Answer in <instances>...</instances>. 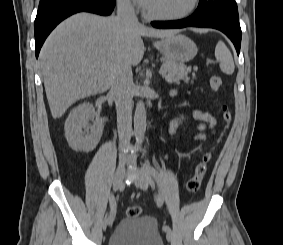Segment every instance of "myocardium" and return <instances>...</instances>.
Segmentation results:
<instances>
[{"label": "myocardium", "mask_w": 283, "mask_h": 245, "mask_svg": "<svg viewBox=\"0 0 283 245\" xmlns=\"http://www.w3.org/2000/svg\"><path fill=\"white\" fill-rule=\"evenodd\" d=\"M200 0H191L190 5L184 11L175 15H162L149 12L146 8L143 9L145 17L159 21H176L181 20L191 15L199 6Z\"/></svg>", "instance_id": "f54148a6"}]
</instances>
